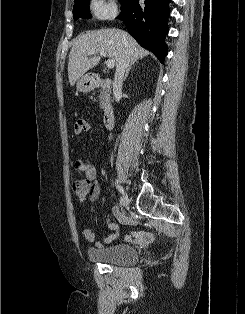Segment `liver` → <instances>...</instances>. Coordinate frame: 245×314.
<instances>
[{"label": "liver", "instance_id": "1", "mask_svg": "<svg viewBox=\"0 0 245 314\" xmlns=\"http://www.w3.org/2000/svg\"><path fill=\"white\" fill-rule=\"evenodd\" d=\"M90 51H95V53L104 51L115 61L116 65L125 52L129 57V63L137 62L149 55L146 49L123 30L112 28L87 32L78 37L69 53L68 78L71 86L99 63L98 56L88 58Z\"/></svg>", "mask_w": 245, "mask_h": 314}]
</instances>
